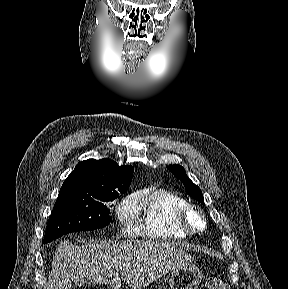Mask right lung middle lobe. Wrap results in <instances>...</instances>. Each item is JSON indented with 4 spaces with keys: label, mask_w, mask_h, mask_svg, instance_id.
<instances>
[{
    "label": "right lung middle lobe",
    "mask_w": 288,
    "mask_h": 289,
    "mask_svg": "<svg viewBox=\"0 0 288 289\" xmlns=\"http://www.w3.org/2000/svg\"><path fill=\"white\" fill-rule=\"evenodd\" d=\"M125 191H103L93 194L79 192L59 193L47 223L44 243L76 231H89L105 227L111 217L106 203Z\"/></svg>",
    "instance_id": "obj_1"
}]
</instances>
